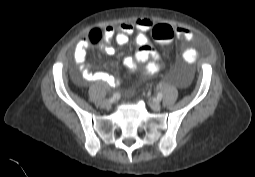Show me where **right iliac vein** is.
<instances>
[{
  "label": "right iliac vein",
  "instance_id": "1",
  "mask_svg": "<svg viewBox=\"0 0 255 177\" xmlns=\"http://www.w3.org/2000/svg\"><path fill=\"white\" fill-rule=\"evenodd\" d=\"M101 106L103 107V108H109L110 106H111V101L110 100H103L102 102H101Z\"/></svg>",
  "mask_w": 255,
  "mask_h": 177
}]
</instances>
